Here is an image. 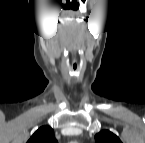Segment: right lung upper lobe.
<instances>
[{
    "label": "right lung upper lobe",
    "mask_w": 145,
    "mask_h": 143,
    "mask_svg": "<svg viewBox=\"0 0 145 143\" xmlns=\"http://www.w3.org/2000/svg\"><path fill=\"white\" fill-rule=\"evenodd\" d=\"M27 143H57V140L51 127L42 126L31 136Z\"/></svg>",
    "instance_id": "right-lung-upper-lobe-1"
}]
</instances>
